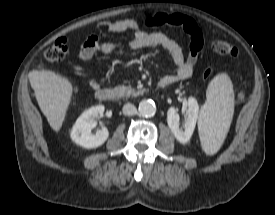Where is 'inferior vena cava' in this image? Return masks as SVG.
I'll use <instances>...</instances> for the list:
<instances>
[{
	"label": "inferior vena cava",
	"instance_id": "602c4592",
	"mask_svg": "<svg viewBox=\"0 0 275 215\" xmlns=\"http://www.w3.org/2000/svg\"><path fill=\"white\" fill-rule=\"evenodd\" d=\"M123 114L124 115H128V116H131V115H134L137 113V109L136 107L131 104V103H127L123 106Z\"/></svg>",
	"mask_w": 275,
	"mask_h": 215
}]
</instances>
